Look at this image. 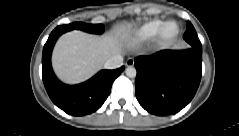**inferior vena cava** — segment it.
<instances>
[{"label":"inferior vena cava","instance_id":"1","mask_svg":"<svg viewBox=\"0 0 239 136\" xmlns=\"http://www.w3.org/2000/svg\"><path fill=\"white\" fill-rule=\"evenodd\" d=\"M122 65H123V57L121 55H115L105 61L104 68L117 69Z\"/></svg>","mask_w":239,"mask_h":136}]
</instances>
